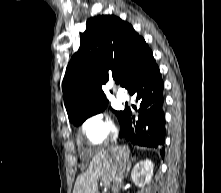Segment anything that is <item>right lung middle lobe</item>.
<instances>
[{"label":"right lung middle lobe","instance_id":"obj_1","mask_svg":"<svg viewBox=\"0 0 221 193\" xmlns=\"http://www.w3.org/2000/svg\"><path fill=\"white\" fill-rule=\"evenodd\" d=\"M106 108V106L98 109V110H95L91 113H88V114H85V115H82V116H79L75 119L72 120V123H74L75 125H80L82 124L88 117L92 116V115H95L97 113H101L104 109ZM114 113L116 114L117 118L119 119V122L121 124L122 122V119H123V116L125 114V111H114Z\"/></svg>","mask_w":221,"mask_h":193}]
</instances>
